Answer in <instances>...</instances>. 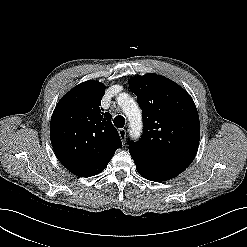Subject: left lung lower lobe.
<instances>
[{"label":"left lung lower lobe","instance_id":"left-lung-lower-lobe-1","mask_svg":"<svg viewBox=\"0 0 247 247\" xmlns=\"http://www.w3.org/2000/svg\"><path fill=\"white\" fill-rule=\"evenodd\" d=\"M137 171L146 179L156 182L166 181L182 173L185 168L150 161L137 154H131Z\"/></svg>","mask_w":247,"mask_h":247}]
</instances>
